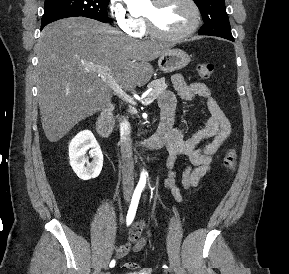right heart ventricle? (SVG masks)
<instances>
[{
    "label": "right heart ventricle",
    "instance_id": "e07e8e85",
    "mask_svg": "<svg viewBox=\"0 0 289 274\" xmlns=\"http://www.w3.org/2000/svg\"><path fill=\"white\" fill-rule=\"evenodd\" d=\"M140 20L142 22V27H141V31L139 35H144L147 32V28H146L145 22L142 19Z\"/></svg>",
    "mask_w": 289,
    "mask_h": 274
}]
</instances>
